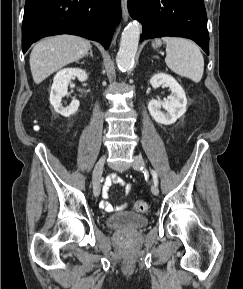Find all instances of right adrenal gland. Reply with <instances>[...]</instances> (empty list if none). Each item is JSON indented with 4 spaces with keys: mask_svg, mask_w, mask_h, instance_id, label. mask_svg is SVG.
Masks as SVG:
<instances>
[{
    "mask_svg": "<svg viewBox=\"0 0 243 289\" xmlns=\"http://www.w3.org/2000/svg\"><path fill=\"white\" fill-rule=\"evenodd\" d=\"M90 55L91 57H93V51L92 48L90 49V52L88 54H86V56Z\"/></svg>",
    "mask_w": 243,
    "mask_h": 289,
    "instance_id": "2a0ac1e0",
    "label": "right adrenal gland"
}]
</instances>
